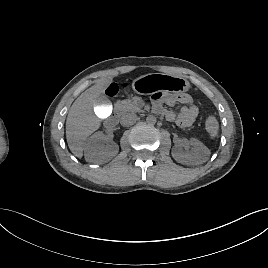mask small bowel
Here are the masks:
<instances>
[{"label":"small bowel","mask_w":268,"mask_h":268,"mask_svg":"<svg viewBox=\"0 0 268 268\" xmlns=\"http://www.w3.org/2000/svg\"><path fill=\"white\" fill-rule=\"evenodd\" d=\"M182 104L183 107L178 113L166 109V106L173 107ZM153 106L157 113L163 114L168 121L175 122L180 128L190 127L198 116V107L194 104L189 94H165L157 92L153 95Z\"/></svg>","instance_id":"small-bowel-1"}]
</instances>
